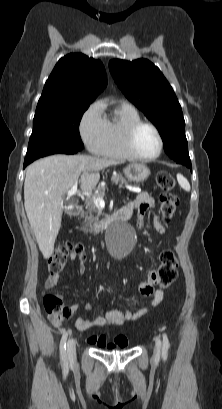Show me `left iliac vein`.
Returning a JSON list of instances; mask_svg holds the SVG:
<instances>
[{
	"label": "left iliac vein",
	"mask_w": 222,
	"mask_h": 409,
	"mask_svg": "<svg viewBox=\"0 0 222 409\" xmlns=\"http://www.w3.org/2000/svg\"><path fill=\"white\" fill-rule=\"evenodd\" d=\"M160 350H161V341L159 338L156 339V345H155V358L160 357Z\"/></svg>",
	"instance_id": "1"
}]
</instances>
